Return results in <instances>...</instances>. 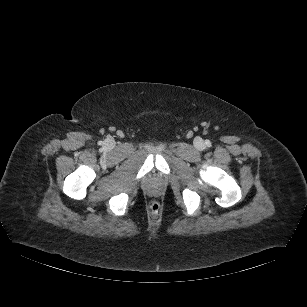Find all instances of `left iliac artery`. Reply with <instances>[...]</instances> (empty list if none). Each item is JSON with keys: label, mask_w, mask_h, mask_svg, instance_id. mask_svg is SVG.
<instances>
[{"label": "left iliac artery", "mask_w": 307, "mask_h": 307, "mask_svg": "<svg viewBox=\"0 0 307 307\" xmlns=\"http://www.w3.org/2000/svg\"><path fill=\"white\" fill-rule=\"evenodd\" d=\"M205 144H206L207 146H210V145H211V143H210L209 140H206V141H205Z\"/></svg>", "instance_id": "44dca946"}]
</instances>
